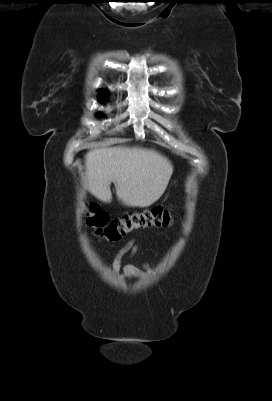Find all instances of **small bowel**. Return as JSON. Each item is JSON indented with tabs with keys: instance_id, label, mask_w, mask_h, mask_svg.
I'll return each mask as SVG.
<instances>
[{
	"instance_id": "1",
	"label": "small bowel",
	"mask_w": 272,
	"mask_h": 401,
	"mask_svg": "<svg viewBox=\"0 0 272 401\" xmlns=\"http://www.w3.org/2000/svg\"><path fill=\"white\" fill-rule=\"evenodd\" d=\"M128 253L132 255H137L139 253V246L133 240L127 242L116 252L112 263V270L114 272H121L126 279H137L149 271L150 267L146 262H142V268L131 264L121 266L122 258Z\"/></svg>"
}]
</instances>
